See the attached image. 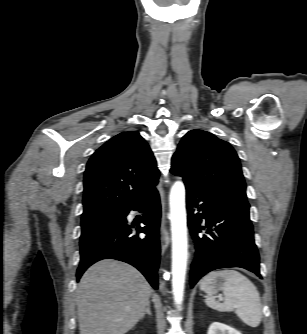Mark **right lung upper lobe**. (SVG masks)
<instances>
[{"label":"right lung upper lobe","instance_id":"cb5924a9","mask_svg":"<svg viewBox=\"0 0 307 334\" xmlns=\"http://www.w3.org/2000/svg\"><path fill=\"white\" fill-rule=\"evenodd\" d=\"M156 160L137 131L122 132L89 159L82 216L123 213L158 183Z\"/></svg>","mask_w":307,"mask_h":334}]
</instances>
